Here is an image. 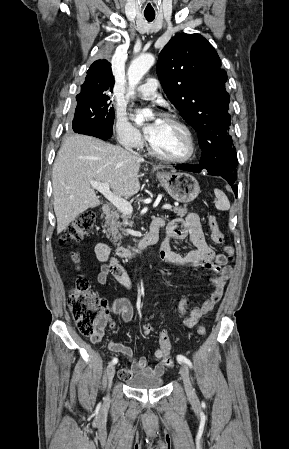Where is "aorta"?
Instances as JSON below:
<instances>
[{
	"mask_svg": "<svg viewBox=\"0 0 289 449\" xmlns=\"http://www.w3.org/2000/svg\"><path fill=\"white\" fill-rule=\"evenodd\" d=\"M155 62V57L152 54H142L134 59L128 69V94L134 95L136 85L141 81L143 76L148 72ZM139 116L144 118L152 117L150 109H143L139 112Z\"/></svg>",
	"mask_w": 289,
	"mask_h": 449,
	"instance_id": "762f6f07",
	"label": "aorta"
}]
</instances>
